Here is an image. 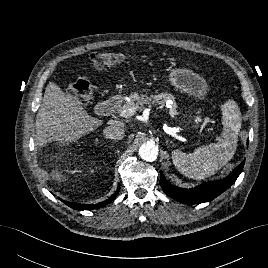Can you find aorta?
<instances>
[{"mask_svg": "<svg viewBox=\"0 0 268 268\" xmlns=\"http://www.w3.org/2000/svg\"><path fill=\"white\" fill-rule=\"evenodd\" d=\"M139 155L143 160L147 162L155 161L158 156V148L154 143L147 142L140 146Z\"/></svg>", "mask_w": 268, "mask_h": 268, "instance_id": "1", "label": "aorta"}]
</instances>
